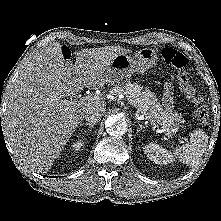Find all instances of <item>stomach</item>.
Wrapping results in <instances>:
<instances>
[{
    "label": "stomach",
    "instance_id": "obj_1",
    "mask_svg": "<svg viewBox=\"0 0 221 221\" xmlns=\"http://www.w3.org/2000/svg\"><path fill=\"white\" fill-rule=\"evenodd\" d=\"M158 61L156 50L142 48L136 51L135 56L128 54L118 55L105 72L106 81L111 85H121L128 82L131 76L144 73L153 67Z\"/></svg>",
    "mask_w": 221,
    "mask_h": 221
}]
</instances>
